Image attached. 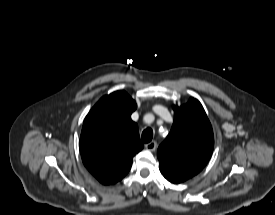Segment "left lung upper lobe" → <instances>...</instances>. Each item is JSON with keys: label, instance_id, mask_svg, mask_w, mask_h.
I'll list each match as a JSON object with an SVG mask.
<instances>
[{"label": "left lung upper lobe", "instance_id": "1", "mask_svg": "<svg viewBox=\"0 0 275 215\" xmlns=\"http://www.w3.org/2000/svg\"><path fill=\"white\" fill-rule=\"evenodd\" d=\"M174 108V123L157 156L160 171L170 182L179 184L198 174L208 163L214 137L201 103L191 98Z\"/></svg>", "mask_w": 275, "mask_h": 215}]
</instances>
